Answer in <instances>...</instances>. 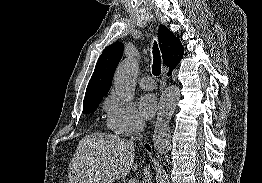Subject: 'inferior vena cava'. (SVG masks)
<instances>
[{
    "label": "inferior vena cava",
    "instance_id": "obj_1",
    "mask_svg": "<svg viewBox=\"0 0 262 183\" xmlns=\"http://www.w3.org/2000/svg\"><path fill=\"white\" fill-rule=\"evenodd\" d=\"M145 123L143 120L138 119L136 124H135V134L134 136L131 137V141L134 140H142L143 138V130H144ZM142 183H153L152 182V175L149 171V166L144 169V177L142 179Z\"/></svg>",
    "mask_w": 262,
    "mask_h": 183
}]
</instances>
